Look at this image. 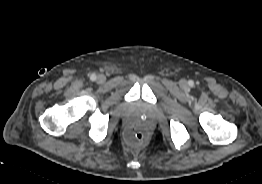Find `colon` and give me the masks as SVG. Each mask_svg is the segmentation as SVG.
I'll use <instances>...</instances> for the list:
<instances>
[{"mask_svg": "<svg viewBox=\"0 0 262 184\" xmlns=\"http://www.w3.org/2000/svg\"><path fill=\"white\" fill-rule=\"evenodd\" d=\"M146 140H147L146 134L137 128L131 129L128 132V142L133 147H138L143 145L146 142Z\"/></svg>", "mask_w": 262, "mask_h": 184, "instance_id": "colon-1", "label": "colon"}]
</instances>
